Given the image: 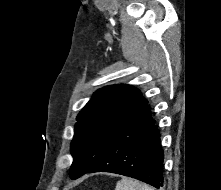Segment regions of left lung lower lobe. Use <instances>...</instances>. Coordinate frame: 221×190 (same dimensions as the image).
<instances>
[{"label": "left lung lower lobe", "mask_w": 221, "mask_h": 190, "mask_svg": "<svg viewBox=\"0 0 221 190\" xmlns=\"http://www.w3.org/2000/svg\"><path fill=\"white\" fill-rule=\"evenodd\" d=\"M163 160L160 133L147 104L119 129L87 173L121 174L159 188Z\"/></svg>", "instance_id": "obj_1"}]
</instances>
